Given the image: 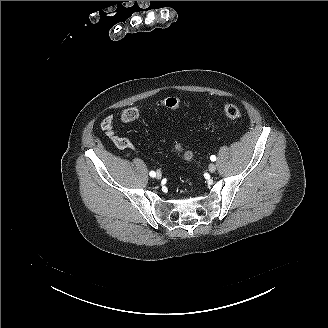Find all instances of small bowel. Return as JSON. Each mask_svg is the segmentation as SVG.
Masks as SVG:
<instances>
[{
	"label": "small bowel",
	"instance_id": "obj_1",
	"mask_svg": "<svg viewBox=\"0 0 328 328\" xmlns=\"http://www.w3.org/2000/svg\"><path fill=\"white\" fill-rule=\"evenodd\" d=\"M101 126L105 131L112 133V127H113L112 115L106 116L102 120ZM114 140L116 144L122 149H130V150L134 149V145L127 139L115 137Z\"/></svg>",
	"mask_w": 328,
	"mask_h": 328
}]
</instances>
